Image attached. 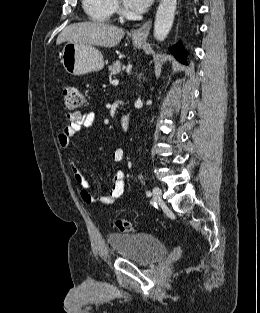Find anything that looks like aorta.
Instances as JSON below:
<instances>
[{
	"label": "aorta",
	"mask_w": 260,
	"mask_h": 313,
	"mask_svg": "<svg viewBox=\"0 0 260 313\" xmlns=\"http://www.w3.org/2000/svg\"><path fill=\"white\" fill-rule=\"evenodd\" d=\"M177 0H161L155 17L154 37L163 41L173 25Z\"/></svg>",
	"instance_id": "obj_1"
}]
</instances>
